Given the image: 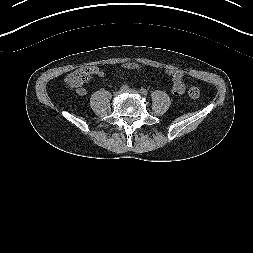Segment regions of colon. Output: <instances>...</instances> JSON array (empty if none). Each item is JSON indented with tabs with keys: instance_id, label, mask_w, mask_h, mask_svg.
I'll return each instance as SVG.
<instances>
[{
	"instance_id": "obj_1",
	"label": "colon",
	"mask_w": 253,
	"mask_h": 253,
	"mask_svg": "<svg viewBox=\"0 0 253 253\" xmlns=\"http://www.w3.org/2000/svg\"><path fill=\"white\" fill-rule=\"evenodd\" d=\"M92 76V70L90 67H81L71 73L67 80L66 85L73 91H78L83 88L84 84ZM188 95L192 99H197L200 96V89L196 86H191L188 89Z\"/></svg>"
}]
</instances>
